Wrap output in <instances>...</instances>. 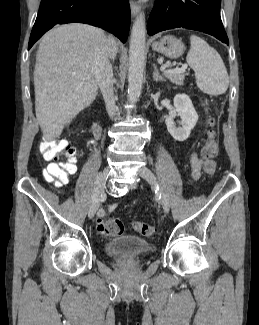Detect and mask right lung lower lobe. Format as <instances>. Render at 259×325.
I'll return each mask as SVG.
<instances>
[{"label": "right lung lower lobe", "instance_id": "right-lung-lower-lobe-1", "mask_svg": "<svg viewBox=\"0 0 259 325\" xmlns=\"http://www.w3.org/2000/svg\"><path fill=\"white\" fill-rule=\"evenodd\" d=\"M86 23L103 28L123 43L130 28L128 0H42L28 50L56 24Z\"/></svg>", "mask_w": 259, "mask_h": 325}]
</instances>
